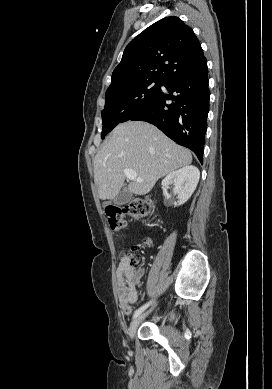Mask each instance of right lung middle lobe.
<instances>
[{
    "label": "right lung middle lobe",
    "instance_id": "1",
    "mask_svg": "<svg viewBox=\"0 0 272 389\" xmlns=\"http://www.w3.org/2000/svg\"><path fill=\"white\" fill-rule=\"evenodd\" d=\"M165 82L144 80L106 92L105 107L102 111L104 138L116 125L128 121L135 113L161 92Z\"/></svg>",
    "mask_w": 272,
    "mask_h": 389
}]
</instances>
